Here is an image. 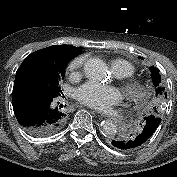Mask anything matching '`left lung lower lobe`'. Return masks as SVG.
Masks as SVG:
<instances>
[{"label":"left lung lower lobe","mask_w":177,"mask_h":177,"mask_svg":"<svg viewBox=\"0 0 177 177\" xmlns=\"http://www.w3.org/2000/svg\"><path fill=\"white\" fill-rule=\"evenodd\" d=\"M160 122V117L151 114L144 118L142 129L136 136L117 137L112 141V144L121 150H132L138 148L153 135Z\"/></svg>","instance_id":"0a47b994"}]
</instances>
